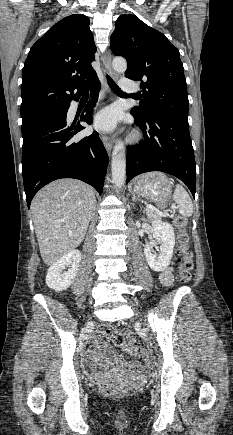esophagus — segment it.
<instances>
[{
    "label": "esophagus",
    "instance_id": "34e87169",
    "mask_svg": "<svg viewBox=\"0 0 233 435\" xmlns=\"http://www.w3.org/2000/svg\"><path fill=\"white\" fill-rule=\"evenodd\" d=\"M104 66H105V70L107 72V74H109L113 79H117V75L116 73L113 71L112 66H111V55H110V51L107 50L106 52V58L104 60ZM101 139L103 141V144L108 152V154L111 153V150L113 148V142L112 140H110V138L106 135H101Z\"/></svg>",
    "mask_w": 233,
    "mask_h": 435
}]
</instances>
